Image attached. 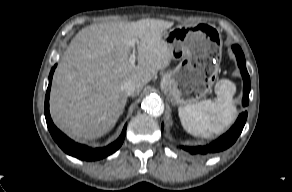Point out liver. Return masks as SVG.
Returning <instances> with one entry per match:
<instances>
[{
    "label": "liver",
    "mask_w": 292,
    "mask_h": 192,
    "mask_svg": "<svg viewBox=\"0 0 292 192\" xmlns=\"http://www.w3.org/2000/svg\"><path fill=\"white\" fill-rule=\"evenodd\" d=\"M173 22L141 19L87 26L63 54L50 95L51 117L75 137L95 139L110 131L127 102L122 86L131 81L135 94L173 58L162 39ZM137 41V65L129 62Z\"/></svg>",
    "instance_id": "liver-1"
}]
</instances>
